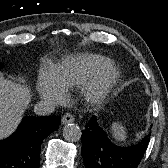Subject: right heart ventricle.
<instances>
[{
  "label": "right heart ventricle",
  "mask_w": 168,
  "mask_h": 168,
  "mask_svg": "<svg viewBox=\"0 0 168 168\" xmlns=\"http://www.w3.org/2000/svg\"><path fill=\"white\" fill-rule=\"evenodd\" d=\"M108 62V59L97 54L80 53L66 58L62 64L51 72L55 83L67 90L81 88Z\"/></svg>",
  "instance_id": "right-heart-ventricle-1"
}]
</instances>
